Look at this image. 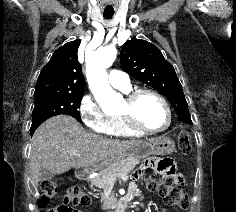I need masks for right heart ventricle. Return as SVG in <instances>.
<instances>
[{"label": "right heart ventricle", "instance_id": "obj_1", "mask_svg": "<svg viewBox=\"0 0 236 212\" xmlns=\"http://www.w3.org/2000/svg\"><path fill=\"white\" fill-rule=\"evenodd\" d=\"M121 90L128 92L130 90V86ZM105 134L115 137H137L141 135L140 133L130 129L119 115L108 117Z\"/></svg>", "mask_w": 236, "mask_h": 212}]
</instances>
